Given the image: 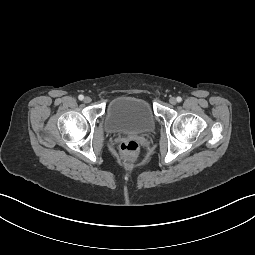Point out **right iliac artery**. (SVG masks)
Segmentation results:
<instances>
[{"label":"right iliac artery","mask_w":255,"mask_h":255,"mask_svg":"<svg viewBox=\"0 0 255 255\" xmlns=\"http://www.w3.org/2000/svg\"><path fill=\"white\" fill-rule=\"evenodd\" d=\"M78 98H79V100H83L84 96L83 95H79Z\"/></svg>","instance_id":"1"}]
</instances>
